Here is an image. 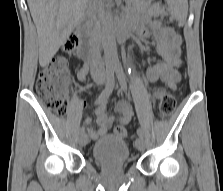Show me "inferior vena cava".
<instances>
[{"label": "inferior vena cava", "mask_w": 223, "mask_h": 191, "mask_svg": "<svg viewBox=\"0 0 223 191\" xmlns=\"http://www.w3.org/2000/svg\"><path fill=\"white\" fill-rule=\"evenodd\" d=\"M95 49V57L93 61V66L91 69L92 74H100L104 70V63L102 62L101 55L99 53V50L97 49L96 46H94Z\"/></svg>", "instance_id": "1"}]
</instances>
